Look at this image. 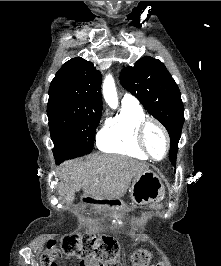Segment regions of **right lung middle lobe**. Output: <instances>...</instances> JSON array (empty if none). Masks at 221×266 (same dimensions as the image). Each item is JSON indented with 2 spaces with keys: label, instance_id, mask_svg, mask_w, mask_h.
Instances as JSON below:
<instances>
[{
  "label": "right lung middle lobe",
  "instance_id": "dd1d6c3e",
  "mask_svg": "<svg viewBox=\"0 0 221 266\" xmlns=\"http://www.w3.org/2000/svg\"><path fill=\"white\" fill-rule=\"evenodd\" d=\"M47 115L57 162L92 151L101 113L85 112L68 97L49 96Z\"/></svg>",
  "mask_w": 221,
  "mask_h": 266
}]
</instances>
